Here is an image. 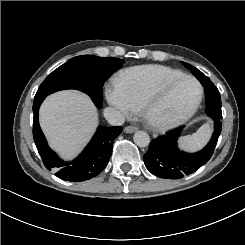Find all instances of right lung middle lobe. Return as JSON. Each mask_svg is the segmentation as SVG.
Here are the masks:
<instances>
[{"mask_svg":"<svg viewBox=\"0 0 245 245\" xmlns=\"http://www.w3.org/2000/svg\"><path fill=\"white\" fill-rule=\"evenodd\" d=\"M122 59L82 55L54 70L40 85L35 99L64 89L87 93L98 108L102 107V87L108 77L123 64Z\"/></svg>","mask_w":245,"mask_h":245,"instance_id":"dd1d6c3e","label":"right lung middle lobe"}]
</instances>
